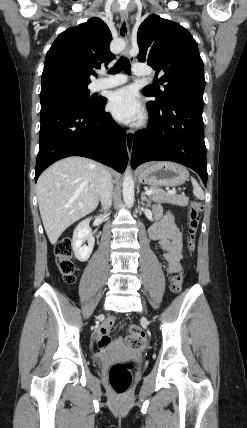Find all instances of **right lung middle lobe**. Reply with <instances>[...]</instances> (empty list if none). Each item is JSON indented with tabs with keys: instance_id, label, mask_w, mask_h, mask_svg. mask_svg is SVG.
<instances>
[{
	"instance_id": "right-lung-middle-lobe-1",
	"label": "right lung middle lobe",
	"mask_w": 247,
	"mask_h": 428,
	"mask_svg": "<svg viewBox=\"0 0 247 428\" xmlns=\"http://www.w3.org/2000/svg\"><path fill=\"white\" fill-rule=\"evenodd\" d=\"M40 101L41 109L58 105L90 109L96 106L101 98L90 96L87 86H64L40 93Z\"/></svg>"
}]
</instances>
